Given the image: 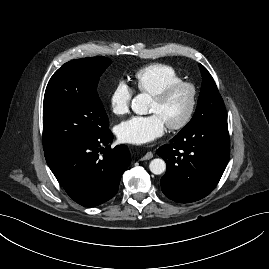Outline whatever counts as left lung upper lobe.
Masks as SVG:
<instances>
[{
    "instance_id": "left-lung-upper-lobe-1",
    "label": "left lung upper lobe",
    "mask_w": 269,
    "mask_h": 269,
    "mask_svg": "<svg viewBox=\"0 0 269 269\" xmlns=\"http://www.w3.org/2000/svg\"><path fill=\"white\" fill-rule=\"evenodd\" d=\"M199 68L203 82L197 108L190 122L182 130L195 125L227 122L225 105L212 76L203 65L199 64Z\"/></svg>"
}]
</instances>
